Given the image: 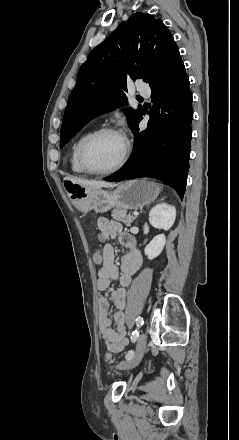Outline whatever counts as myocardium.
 I'll list each match as a JSON object with an SVG mask.
<instances>
[{
	"instance_id": "f54148a6",
	"label": "myocardium",
	"mask_w": 239,
	"mask_h": 440,
	"mask_svg": "<svg viewBox=\"0 0 239 440\" xmlns=\"http://www.w3.org/2000/svg\"><path fill=\"white\" fill-rule=\"evenodd\" d=\"M104 134H120L124 137L125 139V148H124V152L123 155L120 159V161L118 162V164L111 169L108 170H96L93 169L88 161H87V148L90 145V143L95 140L96 138H98L101 135ZM130 152H131V146L129 141L125 138V136L121 133V131H119L118 129H116L115 127L112 126H104V127H100L95 129L94 131L90 132L82 141V143L80 144L79 150H78V161L80 166L82 167V169L90 175H95V176H105V175H111L114 173H117L118 171H120L124 165L126 164L129 156H130Z\"/></svg>"
}]
</instances>
